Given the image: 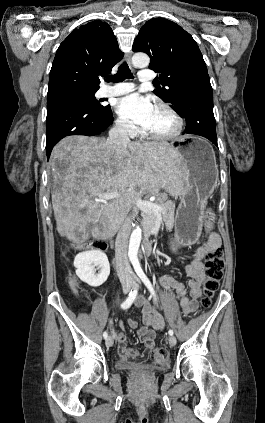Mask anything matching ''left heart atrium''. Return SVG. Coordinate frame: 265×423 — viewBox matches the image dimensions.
Here are the masks:
<instances>
[{
  "label": "left heart atrium",
  "mask_w": 265,
  "mask_h": 423,
  "mask_svg": "<svg viewBox=\"0 0 265 423\" xmlns=\"http://www.w3.org/2000/svg\"><path fill=\"white\" fill-rule=\"evenodd\" d=\"M156 106L150 98L134 93L118 100L117 113L144 128L149 124Z\"/></svg>",
  "instance_id": "39dd6f15"
}]
</instances>
